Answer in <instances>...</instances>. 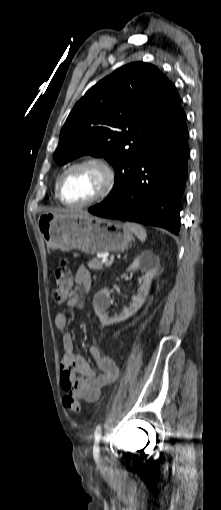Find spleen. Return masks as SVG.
Wrapping results in <instances>:
<instances>
[{
    "label": "spleen",
    "instance_id": "3e777b00",
    "mask_svg": "<svg viewBox=\"0 0 221 510\" xmlns=\"http://www.w3.org/2000/svg\"><path fill=\"white\" fill-rule=\"evenodd\" d=\"M125 227L133 232L141 241H145L147 237L146 229L137 223L126 222Z\"/></svg>",
    "mask_w": 221,
    "mask_h": 510
}]
</instances>
